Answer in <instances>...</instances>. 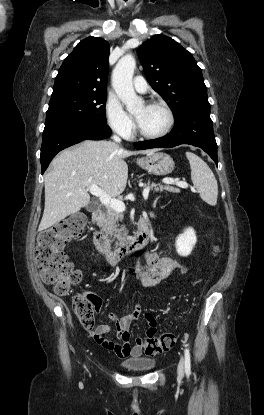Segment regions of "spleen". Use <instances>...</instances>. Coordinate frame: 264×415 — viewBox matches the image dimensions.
I'll list each match as a JSON object with an SVG mask.
<instances>
[{
  "label": "spleen",
  "instance_id": "1",
  "mask_svg": "<svg viewBox=\"0 0 264 415\" xmlns=\"http://www.w3.org/2000/svg\"><path fill=\"white\" fill-rule=\"evenodd\" d=\"M191 167V180L195 188H197L200 197L207 204L215 206L218 197L217 180L209 168L200 157L192 152H186Z\"/></svg>",
  "mask_w": 264,
  "mask_h": 415
}]
</instances>
